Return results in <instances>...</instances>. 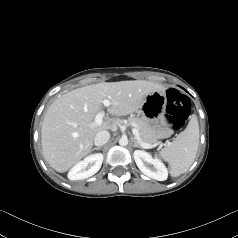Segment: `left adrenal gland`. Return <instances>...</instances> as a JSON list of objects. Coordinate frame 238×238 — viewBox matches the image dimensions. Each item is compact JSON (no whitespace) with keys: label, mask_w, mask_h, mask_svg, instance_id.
Listing matches in <instances>:
<instances>
[{"label":"left adrenal gland","mask_w":238,"mask_h":238,"mask_svg":"<svg viewBox=\"0 0 238 238\" xmlns=\"http://www.w3.org/2000/svg\"><path fill=\"white\" fill-rule=\"evenodd\" d=\"M133 146L138 147V148H142L135 139H134V145Z\"/></svg>","instance_id":"obj_1"}]
</instances>
